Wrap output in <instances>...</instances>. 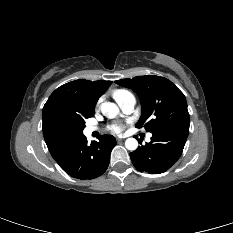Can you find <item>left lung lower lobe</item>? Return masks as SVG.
Returning <instances> with one entry per match:
<instances>
[{"label":"left lung lower lobe","mask_w":233,"mask_h":233,"mask_svg":"<svg viewBox=\"0 0 233 233\" xmlns=\"http://www.w3.org/2000/svg\"><path fill=\"white\" fill-rule=\"evenodd\" d=\"M188 134V126L152 133L150 143L130 153L133 165L138 171L149 174L167 171L181 156Z\"/></svg>","instance_id":"0a47b994"}]
</instances>
